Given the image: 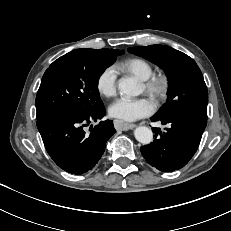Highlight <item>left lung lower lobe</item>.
Instances as JSON below:
<instances>
[{"label":"left lung lower lobe","mask_w":231,"mask_h":231,"mask_svg":"<svg viewBox=\"0 0 231 231\" xmlns=\"http://www.w3.org/2000/svg\"><path fill=\"white\" fill-rule=\"evenodd\" d=\"M152 121H161L166 132L153 128L154 141L141 147L147 163L163 172L184 167L197 151L207 120L189 114L154 115Z\"/></svg>","instance_id":"obj_1"}]
</instances>
